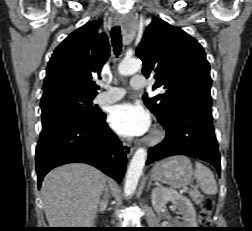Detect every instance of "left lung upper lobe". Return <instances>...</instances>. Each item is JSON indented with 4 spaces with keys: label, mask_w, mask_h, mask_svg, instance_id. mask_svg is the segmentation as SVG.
I'll use <instances>...</instances> for the list:
<instances>
[{
    "label": "left lung upper lobe",
    "mask_w": 252,
    "mask_h": 231,
    "mask_svg": "<svg viewBox=\"0 0 252 231\" xmlns=\"http://www.w3.org/2000/svg\"><path fill=\"white\" fill-rule=\"evenodd\" d=\"M146 77L154 75L153 89L164 87L165 93L149 99L146 106L158 120L183 101L199 100L211 104L210 67L200 43L182 29L154 17L137 50Z\"/></svg>",
    "instance_id": "obj_1"
}]
</instances>
